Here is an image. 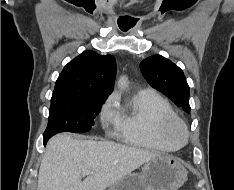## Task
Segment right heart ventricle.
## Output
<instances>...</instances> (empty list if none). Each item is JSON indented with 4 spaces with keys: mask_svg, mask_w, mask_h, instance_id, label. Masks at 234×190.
Listing matches in <instances>:
<instances>
[{
    "mask_svg": "<svg viewBox=\"0 0 234 190\" xmlns=\"http://www.w3.org/2000/svg\"><path fill=\"white\" fill-rule=\"evenodd\" d=\"M176 114L170 103L153 90L137 93L126 107L117 109L115 128L125 143L144 149L174 151L178 145L162 132L164 122Z\"/></svg>",
    "mask_w": 234,
    "mask_h": 190,
    "instance_id": "right-heart-ventricle-1",
    "label": "right heart ventricle"
}]
</instances>
